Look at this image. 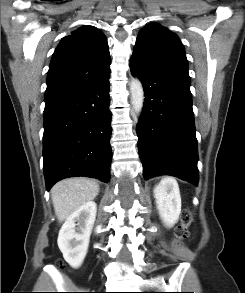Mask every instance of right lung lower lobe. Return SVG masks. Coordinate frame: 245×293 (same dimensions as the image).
I'll return each instance as SVG.
<instances>
[{"label": "right lung lower lobe", "instance_id": "obj_1", "mask_svg": "<svg viewBox=\"0 0 245 293\" xmlns=\"http://www.w3.org/2000/svg\"><path fill=\"white\" fill-rule=\"evenodd\" d=\"M109 77L45 104L43 157L46 187L68 177L109 182L111 112Z\"/></svg>", "mask_w": 245, "mask_h": 293}]
</instances>
